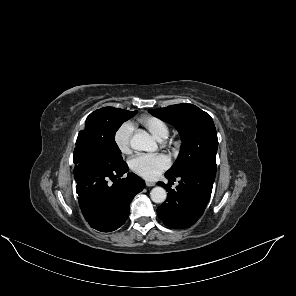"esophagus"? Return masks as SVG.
Instances as JSON below:
<instances>
[{"label":"esophagus","mask_w":296,"mask_h":296,"mask_svg":"<svg viewBox=\"0 0 296 296\" xmlns=\"http://www.w3.org/2000/svg\"><path fill=\"white\" fill-rule=\"evenodd\" d=\"M155 182H151V181H146V186L147 187H152V186H155Z\"/></svg>","instance_id":"esophagus-1"}]
</instances>
